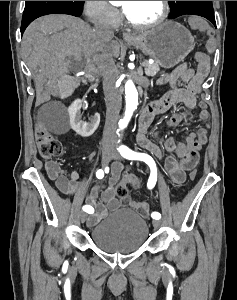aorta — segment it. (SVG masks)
<instances>
[{"label":"aorta","instance_id":"1","mask_svg":"<svg viewBox=\"0 0 237 300\" xmlns=\"http://www.w3.org/2000/svg\"><path fill=\"white\" fill-rule=\"evenodd\" d=\"M125 95H126L125 115L119 123L121 129H125V127H127L135 109H137L138 93L133 81H127V83H125Z\"/></svg>","mask_w":237,"mask_h":300}]
</instances>
